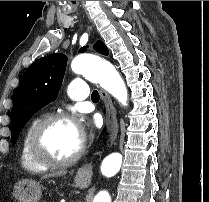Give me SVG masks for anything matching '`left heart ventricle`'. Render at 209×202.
Segmentation results:
<instances>
[{
  "mask_svg": "<svg viewBox=\"0 0 209 202\" xmlns=\"http://www.w3.org/2000/svg\"><path fill=\"white\" fill-rule=\"evenodd\" d=\"M81 142L76 123L60 121L51 124L44 131L40 145L49 158L64 160L78 151Z\"/></svg>",
  "mask_w": 209,
  "mask_h": 202,
  "instance_id": "left-heart-ventricle-1",
  "label": "left heart ventricle"
}]
</instances>
